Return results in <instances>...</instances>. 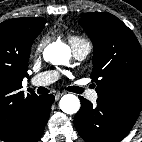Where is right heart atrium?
<instances>
[{
	"mask_svg": "<svg viewBox=\"0 0 142 142\" xmlns=\"http://www.w3.org/2000/svg\"><path fill=\"white\" fill-rule=\"evenodd\" d=\"M46 41H47L46 38H43V39H41V40L39 41V43L37 44V46H36V48H35V51H36L37 53L40 52V51L43 49V47H44L45 44H46Z\"/></svg>",
	"mask_w": 142,
	"mask_h": 142,
	"instance_id": "1",
	"label": "right heart atrium"
}]
</instances>
